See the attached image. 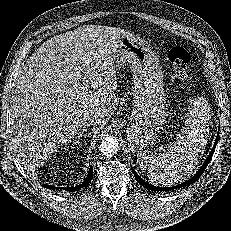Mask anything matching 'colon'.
<instances>
[{
    "label": "colon",
    "instance_id": "5ec220e1",
    "mask_svg": "<svg viewBox=\"0 0 231 231\" xmlns=\"http://www.w3.org/2000/svg\"><path fill=\"white\" fill-rule=\"evenodd\" d=\"M168 58L176 81L184 84L189 77L190 53L182 46H174L169 50Z\"/></svg>",
    "mask_w": 231,
    "mask_h": 231
}]
</instances>
